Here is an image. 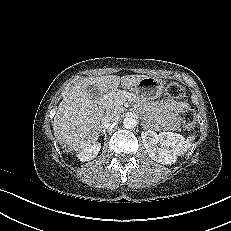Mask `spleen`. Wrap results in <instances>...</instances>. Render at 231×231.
<instances>
[{
  "label": "spleen",
  "mask_w": 231,
  "mask_h": 231,
  "mask_svg": "<svg viewBox=\"0 0 231 231\" xmlns=\"http://www.w3.org/2000/svg\"><path fill=\"white\" fill-rule=\"evenodd\" d=\"M194 140H195V135H190L189 137H187L185 143L181 147L179 155H183L185 152H187L191 148L192 142Z\"/></svg>",
  "instance_id": "obj_1"
}]
</instances>
